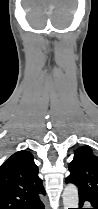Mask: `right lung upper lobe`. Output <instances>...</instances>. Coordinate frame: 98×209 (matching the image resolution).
Masks as SVG:
<instances>
[{"instance_id":"cb5924a9","label":"right lung upper lobe","mask_w":98,"mask_h":209,"mask_svg":"<svg viewBox=\"0 0 98 209\" xmlns=\"http://www.w3.org/2000/svg\"><path fill=\"white\" fill-rule=\"evenodd\" d=\"M44 193L33 155L26 150L14 153L0 167V209H21Z\"/></svg>"}]
</instances>
